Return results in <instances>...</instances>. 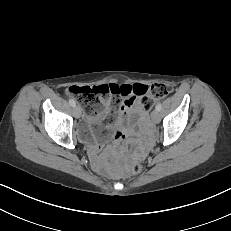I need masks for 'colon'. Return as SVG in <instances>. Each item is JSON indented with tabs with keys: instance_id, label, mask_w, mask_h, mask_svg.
Here are the masks:
<instances>
[{
	"instance_id": "obj_1",
	"label": "colon",
	"mask_w": 231,
	"mask_h": 231,
	"mask_svg": "<svg viewBox=\"0 0 231 231\" xmlns=\"http://www.w3.org/2000/svg\"><path fill=\"white\" fill-rule=\"evenodd\" d=\"M130 91L134 95L128 99V105H132L134 99H137L143 109L150 110L154 100L169 95L171 88L163 83H154L151 86L138 83L131 88L117 84H103L91 87L72 86L69 88L68 94L74 97L87 113L93 114L104 108L110 115L123 103L122 98ZM142 168V165L136 162L130 172L138 174Z\"/></svg>"
}]
</instances>
